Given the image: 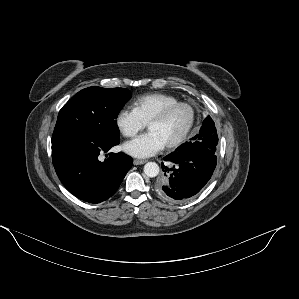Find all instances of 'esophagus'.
Returning <instances> with one entry per match:
<instances>
[{
  "instance_id": "1",
  "label": "esophagus",
  "mask_w": 299,
  "mask_h": 299,
  "mask_svg": "<svg viewBox=\"0 0 299 299\" xmlns=\"http://www.w3.org/2000/svg\"><path fill=\"white\" fill-rule=\"evenodd\" d=\"M146 162H147V160H144V159H134L133 160V164L134 165H142V164H144Z\"/></svg>"
}]
</instances>
